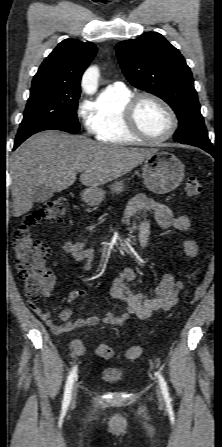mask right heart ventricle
<instances>
[{
  "label": "right heart ventricle",
  "mask_w": 222,
  "mask_h": 447,
  "mask_svg": "<svg viewBox=\"0 0 222 447\" xmlns=\"http://www.w3.org/2000/svg\"><path fill=\"white\" fill-rule=\"evenodd\" d=\"M132 96L133 93L126 87L119 90L106 89L94 107L88 110V129L96 140L113 145L143 142L124 123V108Z\"/></svg>",
  "instance_id": "obj_1"
}]
</instances>
